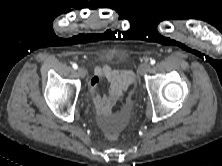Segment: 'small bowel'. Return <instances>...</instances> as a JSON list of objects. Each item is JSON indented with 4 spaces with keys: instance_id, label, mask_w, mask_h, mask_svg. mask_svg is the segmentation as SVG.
<instances>
[{
    "instance_id": "obj_1",
    "label": "small bowel",
    "mask_w": 222,
    "mask_h": 166,
    "mask_svg": "<svg viewBox=\"0 0 222 166\" xmlns=\"http://www.w3.org/2000/svg\"><path fill=\"white\" fill-rule=\"evenodd\" d=\"M101 79H105L109 83L108 94H101L98 90ZM133 82L134 73L129 69H113L109 65L94 68V76L90 81V91L93 104L99 114L100 123L105 130L113 129L108 117L115 104Z\"/></svg>"
}]
</instances>
